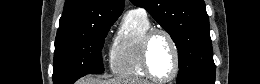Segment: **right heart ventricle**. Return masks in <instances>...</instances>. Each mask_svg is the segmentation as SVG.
<instances>
[{"label": "right heart ventricle", "instance_id": "1", "mask_svg": "<svg viewBox=\"0 0 260 84\" xmlns=\"http://www.w3.org/2000/svg\"><path fill=\"white\" fill-rule=\"evenodd\" d=\"M151 28L145 11L126 13L110 52V67L114 74L130 79L147 76L141 63V42Z\"/></svg>", "mask_w": 260, "mask_h": 84}]
</instances>
